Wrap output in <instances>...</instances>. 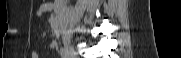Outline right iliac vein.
<instances>
[{
    "mask_svg": "<svg viewBox=\"0 0 181 58\" xmlns=\"http://www.w3.org/2000/svg\"><path fill=\"white\" fill-rule=\"evenodd\" d=\"M63 44H64V49L67 53L68 58H77L76 52L72 45L70 44V41L68 38L64 37L63 38Z\"/></svg>",
    "mask_w": 181,
    "mask_h": 58,
    "instance_id": "right-iliac-vein-1",
    "label": "right iliac vein"
}]
</instances>
